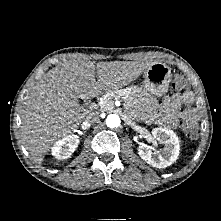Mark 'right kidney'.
Returning a JSON list of instances; mask_svg holds the SVG:
<instances>
[{
	"instance_id": "ca27d5eb",
	"label": "right kidney",
	"mask_w": 221,
	"mask_h": 221,
	"mask_svg": "<svg viewBox=\"0 0 221 221\" xmlns=\"http://www.w3.org/2000/svg\"><path fill=\"white\" fill-rule=\"evenodd\" d=\"M79 139L77 135H68L58 140L51 148V154L59 159L69 158L78 147Z\"/></svg>"
}]
</instances>
